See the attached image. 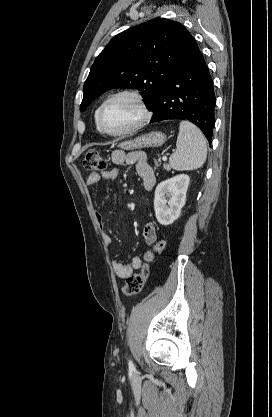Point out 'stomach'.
<instances>
[{"label": "stomach", "instance_id": "stomach-1", "mask_svg": "<svg viewBox=\"0 0 272 417\" xmlns=\"http://www.w3.org/2000/svg\"><path fill=\"white\" fill-rule=\"evenodd\" d=\"M165 140H166V136L164 135V133L159 132V131H154V132L144 134L140 137H137L134 140L124 142L121 144V147L127 150L149 148V147H159L163 145Z\"/></svg>", "mask_w": 272, "mask_h": 417}]
</instances>
